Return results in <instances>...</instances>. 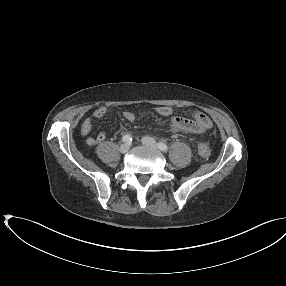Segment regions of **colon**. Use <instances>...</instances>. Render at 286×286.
Returning a JSON list of instances; mask_svg holds the SVG:
<instances>
[{"label":"colon","mask_w":286,"mask_h":286,"mask_svg":"<svg viewBox=\"0 0 286 286\" xmlns=\"http://www.w3.org/2000/svg\"><path fill=\"white\" fill-rule=\"evenodd\" d=\"M198 153L202 158H207L210 155L209 146L205 143H200L198 145Z\"/></svg>","instance_id":"5ec220e1"}]
</instances>
